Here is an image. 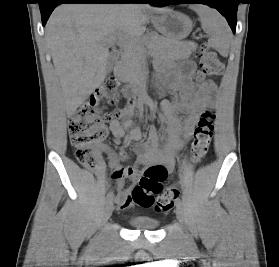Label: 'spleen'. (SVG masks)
<instances>
[{
    "instance_id": "1",
    "label": "spleen",
    "mask_w": 279,
    "mask_h": 267,
    "mask_svg": "<svg viewBox=\"0 0 279 267\" xmlns=\"http://www.w3.org/2000/svg\"><path fill=\"white\" fill-rule=\"evenodd\" d=\"M202 29L209 35V44L223 56L228 55L231 33L225 19L218 11L206 5H193Z\"/></svg>"
}]
</instances>
